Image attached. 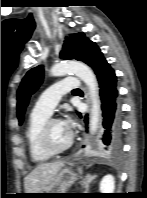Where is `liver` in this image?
Returning a JSON list of instances; mask_svg holds the SVG:
<instances>
[{"mask_svg": "<svg viewBox=\"0 0 147 198\" xmlns=\"http://www.w3.org/2000/svg\"><path fill=\"white\" fill-rule=\"evenodd\" d=\"M65 165L63 161L39 164L24 179L25 193H38L46 188L58 175Z\"/></svg>", "mask_w": 147, "mask_h": 198, "instance_id": "liver-1", "label": "liver"}]
</instances>
